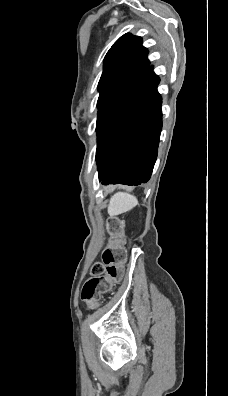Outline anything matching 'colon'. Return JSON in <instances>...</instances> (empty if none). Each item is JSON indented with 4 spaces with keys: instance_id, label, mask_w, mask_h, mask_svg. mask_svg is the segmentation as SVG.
Wrapping results in <instances>:
<instances>
[{
    "instance_id": "obj_1",
    "label": "colon",
    "mask_w": 228,
    "mask_h": 396,
    "mask_svg": "<svg viewBox=\"0 0 228 396\" xmlns=\"http://www.w3.org/2000/svg\"><path fill=\"white\" fill-rule=\"evenodd\" d=\"M108 231L110 240L103 251L102 262L92 265L91 277L85 282L81 292L83 302L90 308L97 306L102 295L109 291L113 283L121 279L126 261L121 221L118 218H111Z\"/></svg>"
}]
</instances>
